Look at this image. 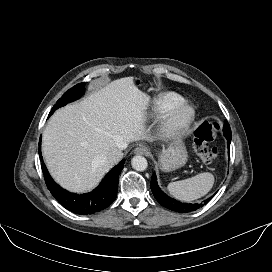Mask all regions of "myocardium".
<instances>
[{
  "label": "myocardium",
  "mask_w": 272,
  "mask_h": 272,
  "mask_svg": "<svg viewBox=\"0 0 272 272\" xmlns=\"http://www.w3.org/2000/svg\"><path fill=\"white\" fill-rule=\"evenodd\" d=\"M196 118V108L188 101L175 105L161 124V134L166 139H177L186 135Z\"/></svg>",
  "instance_id": "obj_1"
}]
</instances>
